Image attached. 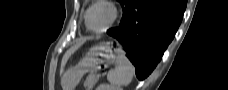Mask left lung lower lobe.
<instances>
[{"label": "left lung lower lobe", "instance_id": "left-lung-lower-lobe-1", "mask_svg": "<svg viewBox=\"0 0 228 90\" xmlns=\"http://www.w3.org/2000/svg\"><path fill=\"white\" fill-rule=\"evenodd\" d=\"M186 3V0H129L119 27L107 31L124 46L138 79H145L160 61L182 21Z\"/></svg>", "mask_w": 228, "mask_h": 90}]
</instances>
